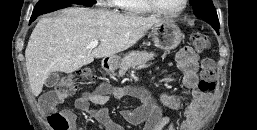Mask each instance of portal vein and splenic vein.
<instances>
[{"mask_svg":"<svg viewBox=\"0 0 257 130\" xmlns=\"http://www.w3.org/2000/svg\"><path fill=\"white\" fill-rule=\"evenodd\" d=\"M98 44H99V41H98V40L91 41L90 44L87 46V49L95 48V47L98 46Z\"/></svg>","mask_w":257,"mask_h":130,"instance_id":"18ae733b","label":"portal vein and splenic vein"}]
</instances>
